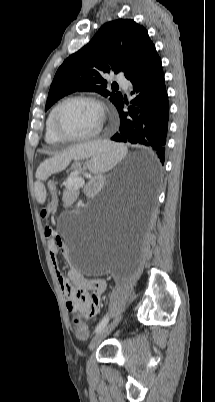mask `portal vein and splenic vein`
<instances>
[{
	"label": "portal vein and splenic vein",
	"mask_w": 215,
	"mask_h": 402,
	"mask_svg": "<svg viewBox=\"0 0 215 402\" xmlns=\"http://www.w3.org/2000/svg\"><path fill=\"white\" fill-rule=\"evenodd\" d=\"M77 184H78V186H83L84 185V180L78 179Z\"/></svg>",
	"instance_id": "portal-vein-and-splenic-vein-1"
}]
</instances>
